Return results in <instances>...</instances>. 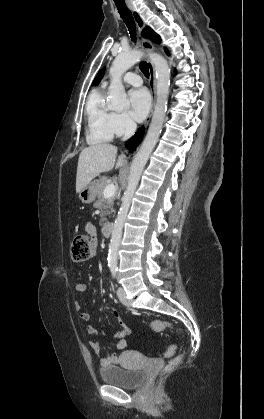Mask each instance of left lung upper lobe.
Here are the masks:
<instances>
[{"label":"left lung upper lobe","instance_id":"5c2ea615","mask_svg":"<svg viewBox=\"0 0 264 419\" xmlns=\"http://www.w3.org/2000/svg\"><path fill=\"white\" fill-rule=\"evenodd\" d=\"M144 37L151 38L154 42L160 43L161 39L159 35H157L153 30H151L149 27H146L142 32ZM167 52V50H166Z\"/></svg>","mask_w":264,"mask_h":419}]
</instances>
